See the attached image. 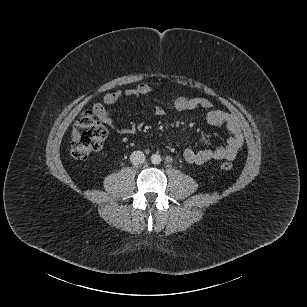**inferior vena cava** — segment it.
<instances>
[{"mask_svg": "<svg viewBox=\"0 0 307 307\" xmlns=\"http://www.w3.org/2000/svg\"><path fill=\"white\" fill-rule=\"evenodd\" d=\"M130 160L134 165L142 164L145 161V155L141 151H134L130 155Z\"/></svg>", "mask_w": 307, "mask_h": 307, "instance_id": "602c4592", "label": "inferior vena cava"}]
</instances>
